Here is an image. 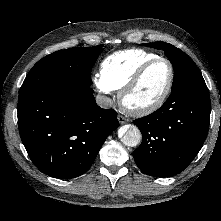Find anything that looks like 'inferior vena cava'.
I'll return each instance as SVG.
<instances>
[{
	"label": "inferior vena cava",
	"instance_id": "1",
	"mask_svg": "<svg viewBox=\"0 0 221 221\" xmlns=\"http://www.w3.org/2000/svg\"><path fill=\"white\" fill-rule=\"evenodd\" d=\"M96 102L102 108H110L113 105L112 99L102 95H97Z\"/></svg>",
	"mask_w": 221,
	"mask_h": 221
}]
</instances>
